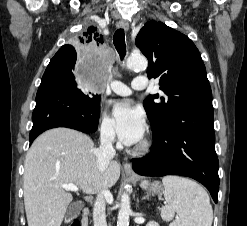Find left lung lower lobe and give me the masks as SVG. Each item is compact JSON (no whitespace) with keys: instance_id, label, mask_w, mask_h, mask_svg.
Returning <instances> with one entry per match:
<instances>
[{"instance_id":"obj_1","label":"left lung lower lobe","mask_w":247,"mask_h":226,"mask_svg":"<svg viewBox=\"0 0 247 226\" xmlns=\"http://www.w3.org/2000/svg\"><path fill=\"white\" fill-rule=\"evenodd\" d=\"M153 146L133 169L144 176L181 175L202 183L218 201V158L215 152L212 104L187 108L164 125L152 129Z\"/></svg>"}]
</instances>
